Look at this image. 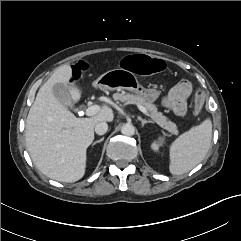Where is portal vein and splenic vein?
<instances>
[{
	"instance_id": "1",
	"label": "portal vein and splenic vein",
	"mask_w": 241,
	"mask_h": 241,
	"mask_svg": "<svg viewBox=\"0 0 241 241\" xmlns=\"http://www.w3.org/2000/svg\"><path fill=\"white\" fill-rule=\"evenodd\" d=\"M138 109H139L142 113H144L145 115H149V114H148V111H147V109H146L145 107L138 105ZM99 110H100V107H99L98 105H93V106H90V107H88V108L86 109L85 114H86L87 116H93V115H95L96 113H98Z\"/></svg>"
}]
</instances>
